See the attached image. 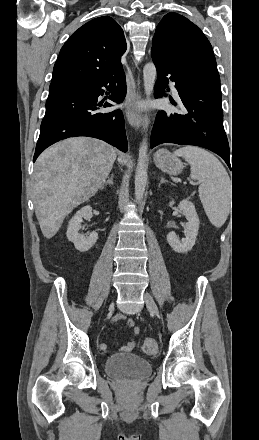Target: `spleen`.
Masks as SVG:
<instances>
[{
    "instance_id": "3e777b00",
    "label": "spleen",
    "mask_w": 259,
    "mask_h": 440,
    "mask_svg": "<svg viewBox=\"0 0 259 440\" xmlns=\"http://www.w3.org/2000/svg\"><path fill=\"white\" fill-rule=\"evenodd\" d=\"M174 155L190 164V177L201 181L198 191L205 213L215 227H221L228 217L231 200V181L225 167L199 147H182Z\"/></svg>"
}]
</instances>
